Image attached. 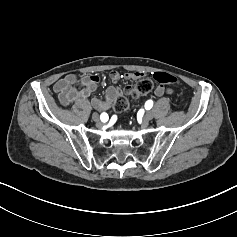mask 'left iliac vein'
Here are the masks:
<instances>
[{
  "label": "left iliac vein",
  "instance_id": "obj_1",
  "mask_svg": "<svg viewBox=\"0 0 237 237\" xmlns=\"http://www.w3.org/2000/svg\"><path fill=\"white\" fill-rule=\"evenodd\" d=\"M154 117L153 113L148 111L146 112L145 114V117H144V124H147L150 120H152Z\"/></svg>",
  "mask_w": 237,
  "mask_h": 237
}]
</instances>
